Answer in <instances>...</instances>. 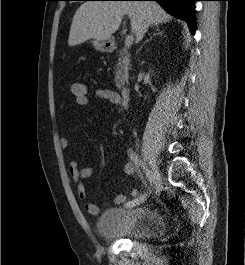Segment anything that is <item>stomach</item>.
<instances>
[{
    "label": "stomach",
    "mask_w": 245,
    "mask_h": 265,
    "mask_svg": "<svg viewBox=\"0 0 245 265\" xmlns=\"http://www.w3.org/2000/svg\"><path fill=\"white\" fill-rule=\"evenodd\" d=\"M93 47L100 52H106L110 49V40H98L94 39L93 41Z\"/></svg>",
    "instance_id": "0dacf381"
}]
</instances>
